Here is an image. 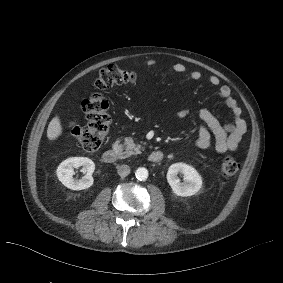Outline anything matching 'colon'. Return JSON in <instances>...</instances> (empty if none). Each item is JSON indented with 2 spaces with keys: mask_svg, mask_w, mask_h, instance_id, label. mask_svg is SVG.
Returning <instances> with one entry per match:
<instances>
[{
  "mask_svg": "<svg viewBox=\"0 0 283 283\" xmlns=\"http://www.w3.org/2000/svg\"><path fill=\"white\" fill-rule=\"evenodd\" d=\"M137 75L117 65L103 68L95 80V88L104 91L117 85L135 83ZM87 123L83 126L71 124V132L78 145L86 151L99 149L111 124L108 99L100 92H95L82 102ZM240 168L239 162L232 156H225L221 161V173L226 177L234 176Z\"/></svg>",
  "mask_w": 283,
  "mask_h": 283,
  "instance_id": "obj_1",
  "label": "colon"
}]
</instances>
